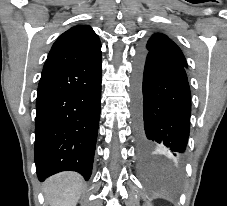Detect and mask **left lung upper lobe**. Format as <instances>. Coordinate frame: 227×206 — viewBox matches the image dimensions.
<instances>
[{"label":"left lung upper lobe","instance_id":"left-lung-upper-lobe-1","mask_svg":"<svg viewBox=\"0 0 227 206\" xmlns=\"http://www.w3.org/2000/svg\"><path fill=\"white\" fill-rule=\"evenodd\" d=\"M142 51L147 55L167 58L187 67L186 59L180 48L162 33L152 35Z\"/></svg>","mask_w":227,"mask_h":206}]
</instances>
